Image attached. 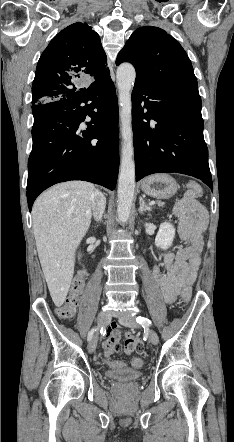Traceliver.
<instances>
[{
	"mask_svg": "<svg viewBox=\"0 0 234 442\" xmlns=\"http://www.w3.org/2000/svg\"><path fill=\"white\" fill-rule=\"evenodd\" d=\"M93 184L60 183L42 193L32 209L41 267L54 304L66 300L74 274L75 250L91 223Z\"/></svg>",
	"mask_w": 234,
	"mask_h": 442,
	"instance_id": "obj_1",
	"label": "liver"
}]
</instances>
